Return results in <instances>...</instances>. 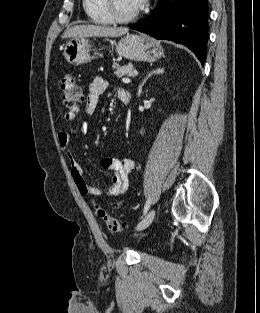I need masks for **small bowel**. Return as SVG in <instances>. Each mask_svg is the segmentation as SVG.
<instances>
[{
	"mask_svg": "<svg viewBox=\"0 0 260 313\" xmlns=\"http://www.w3.org/2000/svg\"><path fill=\"white\" fill-rule=\"evenodd\" d=\"M106 87L107 82L102 77H96L91 82L85 109L88 115H92L96 111L99 105L100 95L105 91ZM118 97L120 100L126 98L129 101L130 99V95L125 89L119 90ZM78 111V107L70 109L64 114V120L66 122H72ZM86 127L87 125H85V128ZM71 138V132L66 130L60 131L58 134L59 145L67 158L71 170V176L78 192L84 197L119 196L123 194L129 186L130 174L134 169V162L127 158L119 159L115 156L104 157L101 160V166L105 169L112 170L113 177L111 183L105 189H100L86 182L83 176L82 167L76 160L71 149Z\"/></svg>",
	"mask_w": 260,
	"mask_h": 313,
	"instance_id": "c3829d8e",
	"label": "small bowel"
}]
</instances>
